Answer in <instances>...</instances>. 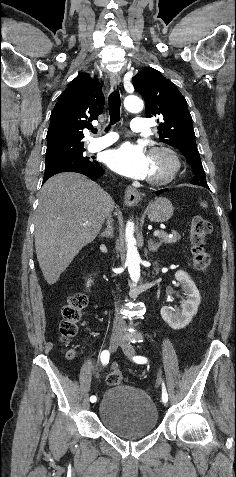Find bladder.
Here are the masks:
<instances>
[{
    "instance_id": "1",
    "label": "bladder",
    "mask_w": 236,
    "mask_h": 477,
    "mask_svg": "<svg viewBox=\"0 0 236 477\" xmlns=\"http://www.w3.org/2000/svg\"><path fill=\"white\" fill-rule=\"evenodd\" d=\"M97 412L106 429L124 439L148 436L159 423L158 410L150 396L127 384L107 388L97 403Z\"/></svg>"
}]
</instances>
